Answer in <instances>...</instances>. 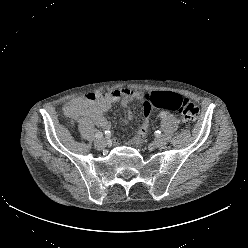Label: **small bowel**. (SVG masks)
I'll list each match as a JSON object with an SVG mask.
<instances>
[{"label":"small bowel","instance_id":"c3829d8e","mask_svg":"<svg viewBox=\"0 0 248 248\" xmlns=\"http://www.w3.org/2000/svg\"><path fill=\"white\" fill-rule=\"evenodd\" d=\"M144 93L128 88L116 89L110 92L103 93H88L83 96L73 98L65 104L64 114L71 119L79 117H88L93 120L98 126L108 130L110 127L109 121L103 116V112L107 111L112 103L120 102L123 106H127L135 100H142ZM128 118L132 119L129 113ZM135 138L131 139V143ZM118 139L113 140L114 145H119Z\"/></svg>","mask_w":248,"mask_h":248}]
</instances>
